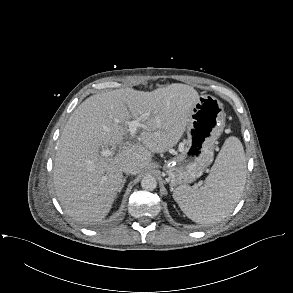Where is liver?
<instances>
[{"label":"liver","instance_id":"liver-1","mask_svg":"<svg viewBox=\"0 0 293 293\" xmlns=\"http://www.w3.org/2000/svg\"><path fill=\"white\" fill-rule=\"evenodd\" d=\"M198 99L193 87L171 84L151 92L117 89L83 101L57 143L53 181L64 211L78 222L101 221L125 183L122 167L132 163V174H139L153 154L175 146ZM146 113L149 116L139 128V142H125L127 123ZM108 146H112V154L101 155L100 150Z\"/></svg>","mask_w":293,"mask_h":293}]
</instances>
